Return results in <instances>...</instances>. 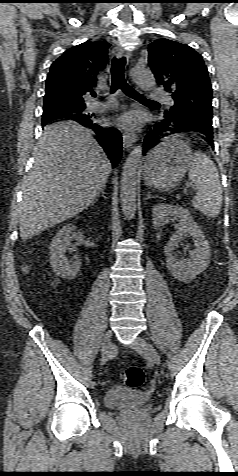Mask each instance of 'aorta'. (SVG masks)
I'll use <instances>...</instances> for the list:
<instances>
[{
    "label": "aorta",
    "mask_w": 238,
    "mask_h": 476,
    "mask_svg": "<svg viewBox=\"0 0 238 476\" xmlns=\"http://www.w3.org/2000/svg\"><path fill=\"white\" fill-rule=\"evenodd\" d=\"M132 78L144 91H149L155 85L154 75L147 69L134 68ZM141 158L142 146L137 145L128 155L122 170L120 200L123 214L127 220H132L136 213V176Z\"/></svg>",
    "instance_id": "aorta-1"
}]
</instances>
